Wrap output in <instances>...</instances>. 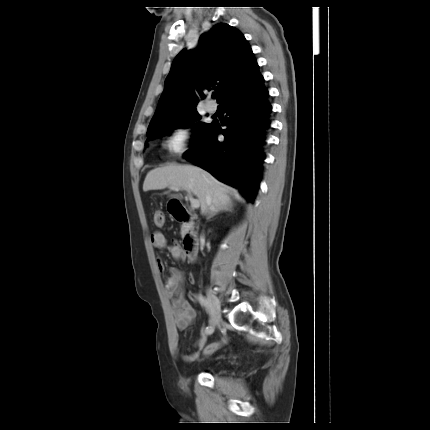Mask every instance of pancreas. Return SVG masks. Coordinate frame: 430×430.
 <instances>
[{
	"label": "pancreas",
	"mask_w": 430,
	"mask_h": 430,
	"mask_svg": "<svg viewBox=\"0 0 430 430\" xmlns=\"http://www.w3.org/2000/svg\"><path fill=\"white\" fill-rule=\"evenodd\" d=\"M182 234L185 232V226L182 227Z\"/></svg>",
	"instance_id": "1"
}]
</instances>
